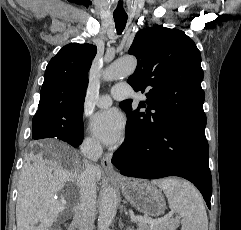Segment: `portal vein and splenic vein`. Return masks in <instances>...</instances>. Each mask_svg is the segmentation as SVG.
I'll return each instance as SVG.
<instances>
[{
	"instance_id": "1",
	"label": "portal vein and splenic vein",
	"mask_w": 241,
	"mask_h": 230,
	"mask_svg": "<svg viewBox=\"0 0 241 230\" xmlns=\"http://www.w3.org/2000/svg\"><path fill=\"white\" fill-rule=\"evenodd\" d=\"M171 217H173V213L170 212L167 215H165L162 218L159 219H151V218H145V217H136L135 220L140 222V223H146L149 225H159L164 223L165 221L169 220Z\"/></svg>"
}]
</instances>
